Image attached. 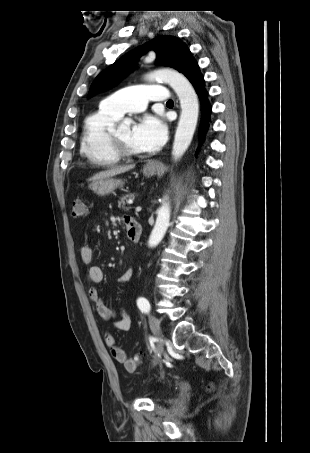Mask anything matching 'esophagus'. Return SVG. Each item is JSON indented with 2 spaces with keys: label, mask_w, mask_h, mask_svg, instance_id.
Returning <instances> with one entry per match:
<instances>
[{
  "label": "esophagus",
  "mask_w": 310,
  "mask_h": 453,
  "mask_svg": "<svg viewBox=\"0 0 310 453\" xmlns=\"http://www.w3.org/2000/svg\"><path fill=\"white\" fill-rule=\"evenodd\" d=\"M160 166V162L155 160V161H150L148 163V167H159Z\"/></svg>",
  "instance_id": "obj_1"
}]
</instances>
